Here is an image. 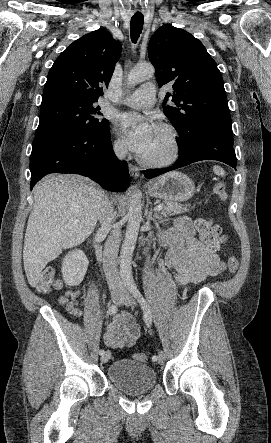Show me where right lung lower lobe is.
<instances>
[{
	"label": "right lung lower lobe",
	"mask_w": 271,
	"mask_h": 443,
	"mask_svg": "<svg viewBox=\"0 0 271 443\" xmlns=\"http://www.w3.org/2000/svg\"><path fill=\"white\" fill-rule=\"evenodd\" d=\"M30 189L50 173L88 176L110 191H125L130 176L126 161L113 151L110 127L85 133L68 128H49L37 134L30 156Z\"/></svg>",
	"instance_id": "obj_1"
}]
</instances>
